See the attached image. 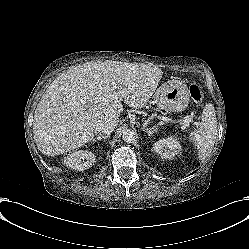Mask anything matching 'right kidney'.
<instances>
[{
	"instance_id": "ca27d5eb",
	"label": "right kidney",
	"mask_w": 249,
	"mask_h": 249,
	"mask_svg": "<svg viewBox=\"0 0 249 249\" xmlns=\"http://www.w3.org/2000/svg\"><path fill=\"white\" fill-rule=\"evenodd\" d=\"M76 158H77V157H72V158H70V159H71L70 161H71V162H72V161H75ZM91 165H92V162H91V161H89L88 163H85V167H90Z\"/></svg>"
}]
</instances>
